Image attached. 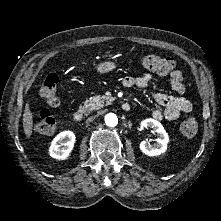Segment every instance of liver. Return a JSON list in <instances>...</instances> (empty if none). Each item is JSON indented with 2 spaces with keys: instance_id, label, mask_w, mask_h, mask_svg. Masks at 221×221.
<instances>
[{
  "instance_id": "1",
  "label": "liver",
  "mask_w": 221,
  "mask_h": 221,
  "mask_svg": "<svg viewBox=\"0 0 221 221\" xmlns=\"http://www.w3.org/2000/svg\"><path fill=\"white\" fill-rule=\"evenodd\" d=\"M33 127V114L30 110L29 100L25 105L24 114H23V128L27 138H30L32 135Z\"/></svg>"
}]
</instances>
